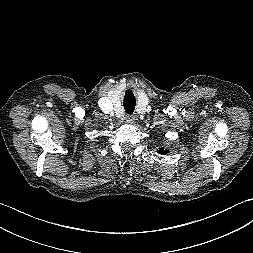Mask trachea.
I'll use <instances>...</instances> for the list:
<instances>
[{
	"mask_svg": "<svg viewBox=\"0 0 253 253\" xmlns=\"http://www.w3.org/2000/svg\"><path fill=\"white\" fill-rule=\"evenodd\" d=\"M123 104H124L125 112L128 114H132L135 109V104H136L135 98L125 96Z\"/></svg>",
	"mask_w": 253,
	"mask_h": 253,
	"instance_id": "3493384b",
	"label": "trachea"
}]
</instances>
